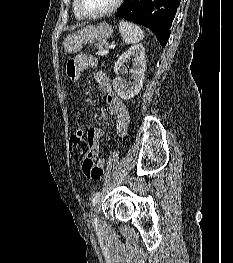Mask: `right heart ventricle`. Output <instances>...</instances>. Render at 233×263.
I'll use <instances>...</instances> for the list:
<instances>
[{
    "label": "right heart ventricle",
    "instance_id": "1",
    "mask_svg": "<svg viewBox=\"0 0 233 263\" xmlns=\"http://www.w3.org/2000/svg\"><path fill=\"white\" fill-rule=\"evenodd\" d=\"M74 14L77 19H82V16L79 14L76 8V2L74 3Z\"/></svg>",
    "mask_w": 233,
    "mask_h": 263
}]
</instances>
